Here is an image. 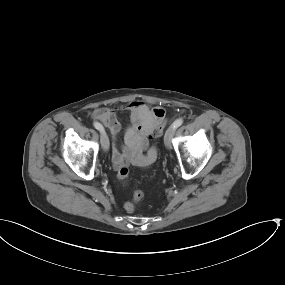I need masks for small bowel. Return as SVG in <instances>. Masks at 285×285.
<instances>
[{"label":"small bowel","instance_id":"obj_1","mask_svg":"<svg viewBox=\"0 0 285 285\" xmlns=\"http://www.w3.org/2000/svg\"><path fill=\"white\" fill-rule=\"evenodd\" d=\"M119 109L131 113V125L125 133L126 149L122 154L116 145L112 149V162L116 169L136 165L148 167L156 159V149L149 145L147 137L153 128L165 121L166 112L162 107H150L136 100ZM115 108L100 107L91 112V117L106 125L114 137L120 132Z\"/></svg>","mask_w":285,"mask_h":285}]
</instances>
